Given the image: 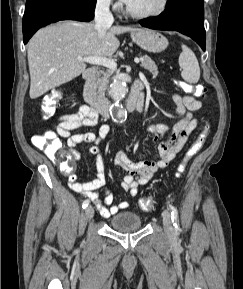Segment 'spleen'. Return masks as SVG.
Returning <instances> with one entry per match:
<instances>
[{"instance_id":"1","label":"spleen","mask_w":243,"mask_h":289,"mask_svg":"<svg viewBox=\"0 0 243 289\" xmlns=\"http://www.w3.org/2000/svg\"><path fill=\"white\" fill-rule=\"evenodd\" d=\"M179 65L182 68L181 76L188 83H197L200 78V67L198 60L191 49L182 45L179 56Z\"/></svg>"}]
</instances>
